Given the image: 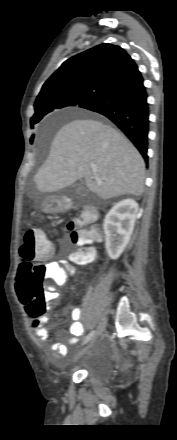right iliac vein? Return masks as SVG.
Here are the masks:
<instances>
[{
  "mask_svg": "<svg viewBox=\"0 0 177 440\" xmlns=\"http://www.w3.org/2000/svg\"><path fill=\"white\" fill-rule=\"evenodd\" d=\"M105 327H106V319L102 318L101 321L99 322L98 327H97V332H96L95 336L91 339L90 344H89L88 347H90L94 343V341L96 340L97 337L102 335V333L105 330ZM85 351H86V349L83 352H81L79 354V356H81Z\"/></svg>",
  "mask_w": 177,
  "mask_h": 440,
  "instance_id": "right-iliac-vein-1",
  "label": "right iliac vein"
}]
</instances>
